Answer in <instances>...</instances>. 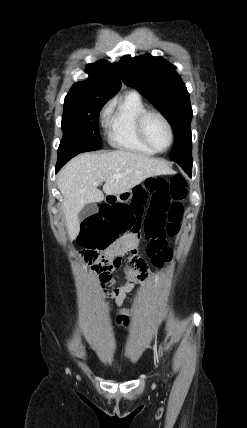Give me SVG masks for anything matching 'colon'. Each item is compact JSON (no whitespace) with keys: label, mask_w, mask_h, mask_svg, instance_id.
<instances>
[{"label":"colon","mask_w":247,"mask_h":428,"mask_svg":"<svg viewBox=\"0 0 247 428\" xmlns=\"http://www.w3.org/2000/svg\"><path fill=\"white\" fill-rule=\"evenodd\" d=\"M186 196L187 182L177 174L170 181L150 180L146 187L135 190L134 199L127 202L114 199L113 204H101V212L88 213L82 233L76 235V242L85 246L84 259L92 264L91 268L103 286L112 279V271L120 266L121 259H109L106 252L98 254L96 251L113 247L114 239H122V232H131L138 238L144 235L148 241L147 254L154 266L161 267L169 260L170 250L165 236H173L179 231L182 201ZM136 251H132V260L137 267L145 262L136 256ZM136 303L146 305V300ZM116 322L132 325L135 321L117 317Z\"/></svg>","instance_id":"1"}]
</instances>
